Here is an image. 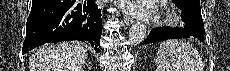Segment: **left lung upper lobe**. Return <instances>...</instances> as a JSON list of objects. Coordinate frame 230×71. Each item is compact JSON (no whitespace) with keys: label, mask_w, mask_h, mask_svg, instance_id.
Listing matches in <instances>:
<instances>
[{"label":"left lung upper lobe","mask_w":230,"mask_h":71,"mask_svg":"<svg viewBox=\"0 0 230 71\" xmlns=\"http://www.w3.org/2000/svg\"><path fill=\"white\" fill-rule=\"evenodd\" d=\"M174 3H178V2H180V1H183V0H172ZM192 1H194V2H196V3H198V4H200V0H192Z\"/></svg>","instance_id":"obj_1"}]
</instances>
